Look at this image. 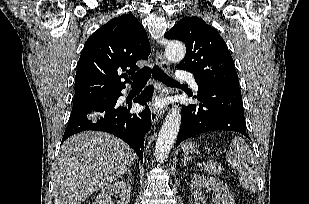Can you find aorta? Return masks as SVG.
<instances>
[{
  "mask_svg": "<svg viewBox=\"0 0 309 204\" xmlns=\"http://www.w3.org/2000/svg\"><path fill=\"white\" fill-rule=\"evenodd\" d=\"M185 54L186 48L179 41H171L166 46L165 56L173 63L181 62ZM180 121L181 115L179 107L173 106L166 116L156 142L155 154L159 163H163L168 157L177 138L180 129Z\"/></svg>",
  "mask_w": 309,
  "mask_h": 204,
  "instance_id": "1",
  "label": "aorta"
}]
</instances>
